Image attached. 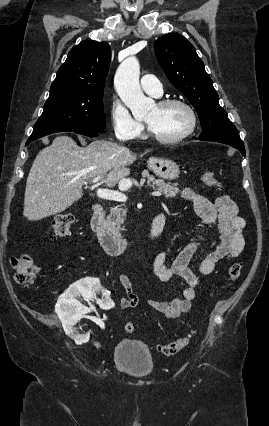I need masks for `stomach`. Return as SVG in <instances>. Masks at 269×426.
Returning a JSON list of instances; mask_svg holds the SVG:
<instances>
[{"mask_svg": "<svg viewBox=\"0 0 269 426\" xmlns=\"http://www.w3.org/2000/svg\"><path fill=\"white\" fill-rule=\"evenodd\" d=\"M148 168L155 175L165 180H174L179 177L180 169L178 165L169 159L150 158Z\"/></svg>", "mask_w": 269, "mask_h": 426, "instance_id": "obj_1", "label": "stomach"}]
</instances>
